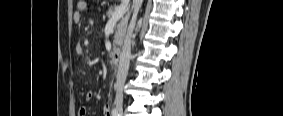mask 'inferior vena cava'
Here are the masks:
<instances>
[{"instance_id":"1","label":"inferior vena cava","mask_w":283,"mask_h":116,"mask_svg":"<svg viewBox=\"0 0 283 116\" xmlns=\"http://www.w3.org/2000/svg\"><path fill=\"white\" fill-rule=\"evenodd\" d=\"M142 2L143 0H133V4H132L133 16L124 38V44L122 46V51L120 54L118 70L116 75L117 89H116L115 102L117 104H121L123 102V87L128 74L130 57H131V38L133 35L137 14L142 5Z\"/></svg>"}]
</instances>
